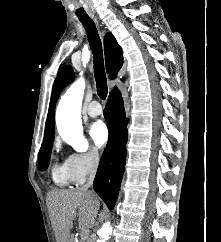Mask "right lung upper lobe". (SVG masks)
Listing matches in <instances>:
<instances>
[{
    "instance_id": "cb5924a9",
    "label": "right lung upper lobe",
    "mask_w": 221,
    "mask_h": 242,
    "mask_svg": "<svg viewBox=\"0 0 221 242\" xmlns=\"http://www.w3.org/2000/svg\"><path fill=\"white\" fill-rule=\"evenodd\" d=\"M104 50H105L106 69H107V72L110 74L109 78L114 79L117 76V72L122 67L123 56H122V49L117 43L112 33H107L105 35ZM73 80H74V73L71 66L69 65L64 66L60 70L53 86V91H52L50 104H49V112H48L47 121H46L44 139L50 138L54 134V117H55L56 101L63 87L68 85Z\"/></svg>"
}]
</instances>
